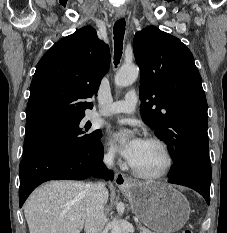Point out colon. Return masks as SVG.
Segmentation results:
<instances>
[{
	"label": "colon",
	"mask_w": 227,
	"mask_h": 233,
	"mask_svg": "<svg viewBox=\"0 0 227 233\" xmlns=\"http://www.w3.org/2000/svg\"><path fill=\"white\" fill-rule=\"evenodd\" d=\"M180 233H193L191 229H184Z\"/></svg>",
	"instance_id": "colon-1"
}]
</instances>
